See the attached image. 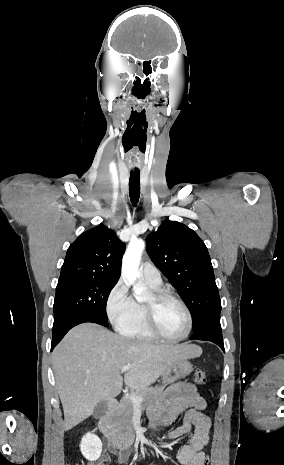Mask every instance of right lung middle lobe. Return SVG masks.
Wrapping results in <instances>:
<instances>
[{
    "mask_svg": "<svg viewBox=\"0 0 284 465\" xmlns=\"http://www.w3.org/2000/svg\"><path fill=\"white\" fill-rule=\"evenodd\" d=\"M116 283L92 277L59 278L53 306L54 324L80 314L107 321L106 303Z\"/></svg>",
    "mask_w": 284,
    "mask_h": 465,
    "instance_id": "dd1d6c3e",
    "label": "right lung middle lobe"
}]
</instances>
